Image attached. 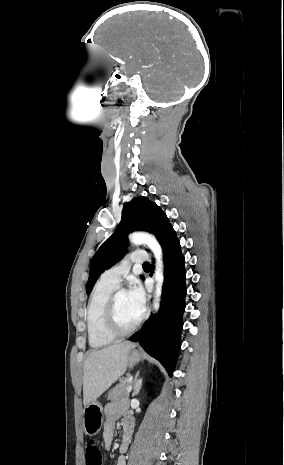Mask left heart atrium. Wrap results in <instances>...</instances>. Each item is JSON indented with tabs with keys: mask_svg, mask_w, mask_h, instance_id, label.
Instances as JSON below:
<instances>
[{
	"mask_svg": "<svg viewBox=\"0 0 284 465\" xmlns=\"http://www.w3.org/2000/svg\"><path fill=\"white\" fill-rule=\"evenodd\" d=\"M127 295L134 309L139 313H142L145 309L146 298L141 285L136 281L132 282Z\"/></svg>",
	"mask_w": 284,
	"mask_h": 465,
	"instance_id": "left-heart-atrium-1",
	"label": "left heart atrium"
}]
</instances>
